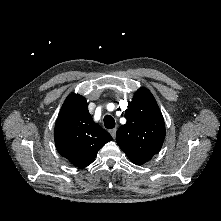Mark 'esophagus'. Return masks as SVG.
I'll use <instances>...</instances> for the list:
<instances>
[{
    "mask_svg": "<svg viewBox=\"0 0 221 221\" xmlns=\"http://www.w3.org/2000/svg\"><path fill=\"white\" fill-rule=\"evenodd\" d=\"M116 131H117L116 128H113V129L109 130V133L111 134V136H112L113 138H115V136H116Z\"/></svg>",
    "mask_w": 221,
    "mask_h": 221,
    "instance_id": "obj_1",
    "label": "esophagus"
}]
</instances>
